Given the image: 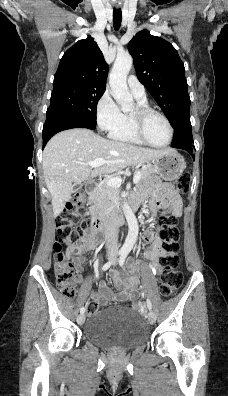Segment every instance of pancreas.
Here are the masks:
<instances>
[{
	"label": "pancreas",
	"mask_w": 228,
	"mask_h": 396,
	"mask_svg": "<svg viewBox=\"0 0 228 396\" xmlns=\"http://www.w3.org/2000/svg\"><path fill=\"white\" fill-rule=\"evenodd\" d=\"M138 172V171H137ZM141 178L139 184L145 181L151 174L155 173V169L151 165L144 166L141 170ZM119 198V192L116 188L110 187L106 181H103L95 189L90 197V212L93 219L104 220L111 210L114 208V199Z\"/></svg>",
	"instance_id": "1"
}]
</instances>
